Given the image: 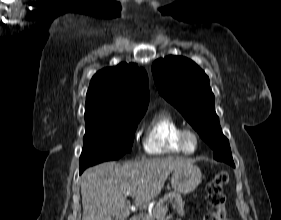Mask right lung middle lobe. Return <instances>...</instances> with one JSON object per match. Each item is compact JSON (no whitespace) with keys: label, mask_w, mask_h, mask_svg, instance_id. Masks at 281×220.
Wrapping results in <instances>:
<instances>
[{"label":"right lung middle lobe","mask_w":281,"mask_h":220,"mask_svg":"<svg viewBox=\"0 0 281 220\" xmlns=\"http://www.w3.org/2000/svg\"><path fill=\"white\" fill-rule=\"evenodd\" d=\"M143 115L115 119L85 120L86 132L80 170L100 162L119 159L131 152L135 130Z\"/></svg>","instance_id":"dd1d6c3e"}]
</instances>
